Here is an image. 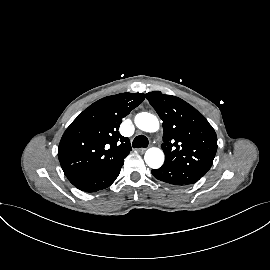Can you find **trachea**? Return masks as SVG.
<instances>
[{
  "instance_id": "obj_1",
  "label": "trachea",
  "mask_w": 270,
  "mask_h": 270,
  "mask_svg": "<svg viewBox=\"0 0 270 270\" xmlns=\"http://www.w3.org/2000/svg\"><path fill=\"white\" fill-rule=\"evenodd\" d=\"M149 144L148 138L144 135L137 136L132 143L133 148H145Z\"/></svg>"
}]
</instances>
